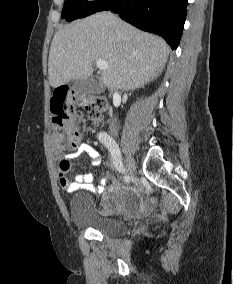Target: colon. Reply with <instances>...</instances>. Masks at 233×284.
Listing matches in <instances>:
<instances>
[{"mask_svg": "<svg viewBox=\"0 0 233 284\" xmlns=\"http://www.w3.org/2000/svg\"><path fill=\"white\" fill-rule=\"evenodd\" d=\"M76 108L85 110L92 121H97L105 110L106 103L94 96L77 97L73 101H67L61 95L52 98L50 104L52 121L62 129L65 143L70 149H75L81 141V131L73 118ZM69 167L68 160L61 162L63 171H67Z\"/></svg>", "mask_w": 233, "mask_h": 284, "instance_id": "obj_1", "label": "colon"}]
</instances>
